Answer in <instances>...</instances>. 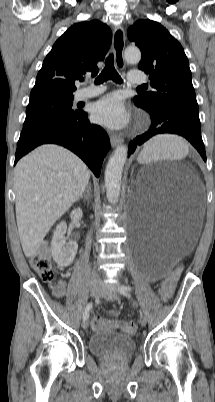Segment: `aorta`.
<instances>
[{
    "mask_svg": "<svg viewBox=\"0 0 215 402\" xmlns=\"http://www.w3.org/2000/svg\"><path fill=\"white\" fill-rule=\"evenodd\" d=\"M127 63L137 64L141 60V52L137 47H127L124 52ZM128 147L118 146L110 157L105 170V187L108 202L115 204L120 195L121 179L124 164L127 158Z\"/></svg>",
    "mask_w": 215,
    "mask_h": 402,
    "instance_id": "obj_1",
    "label": "aorta"
}]
</instances>
